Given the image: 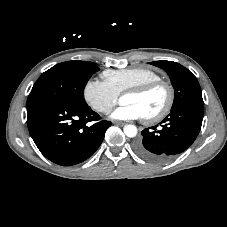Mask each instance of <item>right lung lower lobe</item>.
Listing matches in <instances>:
<instances>
[{"label": "right lung lower lobe", "mask_w": 227, "mask_h": 227, "mask_svg": "<svg viewBox=\"0 0 227 227\" xmlns=\"http://www.w3.org/2000/svg\"><path fill=\"white\" fill-rule=\"evenodd\" d=\"M99 119L87 105L43 100L27 106L28 129L36 146L62 166L81 163L98 149L111 126ZM91 121L98 122L88 127Z\"/></svg>", "instance_id": "98d812e1"}]
</instances>
